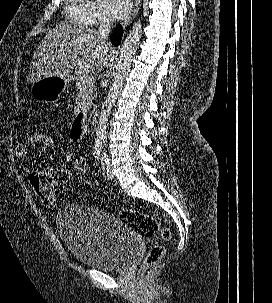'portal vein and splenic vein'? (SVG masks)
Listing matches in <instances>:
<instances>
[{
	"label": "portal vein and splenic vein",
	"mask_w": 272,
	"mask_h": 303,
	"mask_svg": "<svg viewBox=\"0 0 272 303\" xmlns=\"http://www.w3.org/2000/svg\"><path fill=\"white\" fill-rule=\"evenodd\" d=\"M80 81L83 85L89 86V85H93V81L92 78L88 75H84L80 78Z\"/></svg>",
	"instance_id": "18ae733b"
}]
</instances>
